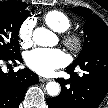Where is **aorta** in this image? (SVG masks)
Segmentation results:
<instances>
[{
    "label": "aorta",
    "instance_id": "1",
    "mask_svg": "<svg viewBox=\"0 0 108 108\" xmlns=\"http://www.w3.org/2000/svg\"><path fill=\"white\" fill-rule=\"evenodd\" d=\"M56 35L43 27H38L33 32V41L39 46H52L56 40ZM47 93L50 96H57L60 92V85L53 81L46 84Z\"/></svg>",
    "mask_w": 108,
    "mask_h": 108
}]
</instances>
